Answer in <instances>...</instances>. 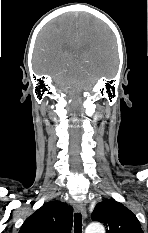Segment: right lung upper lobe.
<instances>
[{"mask_svg": "<svg viewBox=\"0 0 148 233\" xmlns=\"http://www.w3.org/2000/svg\"><path fill=\"white\" fill-rule=\"evenodd\" d=\"M73 208L61 201L47 202L23 223L19 233H70Z\"/></svg>", "mask_w": 148, "mask_h": 233, "instance_id": "cb5924a9", "label": "right lung upper lobe"}]
</instances>
